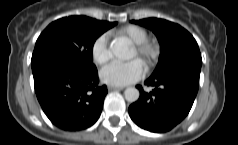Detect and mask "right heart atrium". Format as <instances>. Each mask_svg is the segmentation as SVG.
<instances>
[{
	"label": "right heart atrium",
	"instance_id": "right-heart-atrium-1",
	"mask_svg": "<svg viewBox=\"0 0 238 145\" xmlns=\"http://www.w3.org/2000/svg\"><path fill=\"white\" fill-rule=\"evenodd\" d=\"M91 56L96 64L103 65L111 57L108 37L103 34L98 36L91 45Z\"/></svg>",
	"mask_w": 238,
	"mask_h": 145
}]
</instances>
